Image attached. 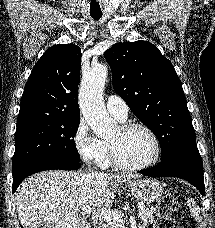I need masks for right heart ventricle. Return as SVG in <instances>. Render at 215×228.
Listing matches in <instances>:
<instances>
[{
    "mask_svg": "<svg viewBox=\"0 0 215 228\" xmlns=\"http://www.w3.org/2000/svg\"><path fill=\"white\" fill-rule=\"evenodd\" d=\"M102 148H103V156L99 162L101 166H106L110 163V156H109V147L108 143L105 141H100Z\"/></svg>",
    "mask_w": 215,
    "mask_h": 228,
    "instance_id": "right-heart-ventricle-1",
    "label": "right heart ventricle"
}]
</instances>
